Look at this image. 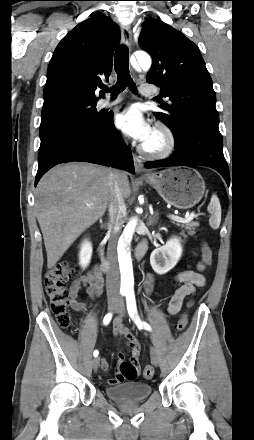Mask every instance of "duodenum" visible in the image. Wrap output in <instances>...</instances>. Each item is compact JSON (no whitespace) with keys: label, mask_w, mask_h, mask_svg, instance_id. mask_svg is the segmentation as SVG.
<instances>
[{"label":"duodenum","mask_w":254,"mask_h":440,"mask_svg":"<svg viewBox=\"0 0 254 440\" xmlns=\"http://www.w3.org/2000/svg\"><path fill=\"white\" fill-rule=\"evenodd\" d=\"M147 251V243L145 241L140 242L135 249V256L137 259H141ZM100 257L102 258V264L100 266V269L103 272H107L109 269V265L107 261L104 258V249L102 247L98 250Z\"/></svg>","instance_id":"obj_1"}]
</instances>
